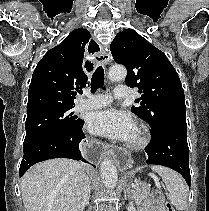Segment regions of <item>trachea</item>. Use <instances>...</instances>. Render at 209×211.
Listing matches in <instances>:
<instances>
[{"label":"trachea","mask_w":209,"mask_h":211,"mask_svg":"<svg viewBox=\"0 0 209 211\" xmlns=\"http://www.w3.org/2000/svg\"><path fill=\"white\" fill-rule=\"evenodd\" d=\"M104 85V69L99 66L91 79V92L94 93L97 88H102Z\"/></svg>","instance_id":"1"}]
</instances>
